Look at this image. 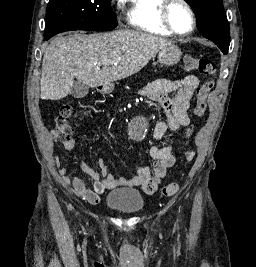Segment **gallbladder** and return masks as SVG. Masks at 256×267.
Returning <instances> with one entry per match:
<instances>
[{"instance_id":"1","label":"gallbladder","mask_w":256,"mask_h":267,"mask_svg":"<svg viewBox=\"0 0 256 267\" xmlns=\"http://www.w3.org/2000/svg\"><path fill=\"white\" fill-rule=\"evenodd\" d=\"M86 94H89V86H85L82 82H73L71 88L73 98H84Z\"/></svg>"}]
</instances>
